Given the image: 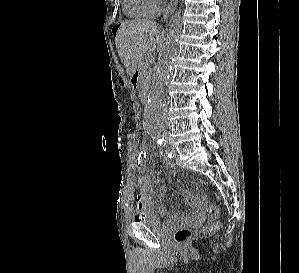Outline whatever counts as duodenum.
<instances>
[{
	"instance_id": "duodenum-1",
	"label": "duodenum",
	"mask_w": 299,
	"mask_h": 273,
	"mask_svg": "<svg viewBox=\"0 0 299 273\" xmlns=\"http://www.w3.org/2000/svg\"><path fill=\"white\" fill-rule=\"evenodd\" d=\"M132 81H137V73H134L132 76Z\"/></svg>"
}]
</instances>
